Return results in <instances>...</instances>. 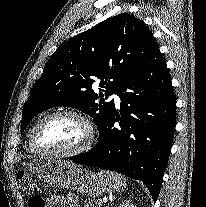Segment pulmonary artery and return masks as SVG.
<instances>
[{"mask_svg":"<svg viewBox=\"0 0 206 207\" xmlns=\"http://www.w3.org/2000/svg\"><path fill=\"white\" fill-rule=\"evenodd\" d=\"M113 98H114V100H115V102H116L117 105H119L121 103L120 96H119V94L117 92H115L113 94Z\"/></svg>","mask_w":206,"mask_h":207,"instance_id":"obj_1","label":"pulmonary artery"}]
</instances>
